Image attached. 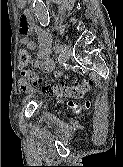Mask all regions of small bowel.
Here are the masks:
<instances>
[{
    "label": "small bowel",
    "mask_w": 123,
    "mask_h": 167,
    "mask_svg": "<svg viewBox=\"0 0 123 167\" xmlns=\"http://www.w3.org/2000/svg\"><path fill=\"white\" fill-rule=\"evenodd\" d=\"M21 43L24 44L30 51L36 49V43L29 38L32 29H35L38 35L37 56L31 62L33 67L40 68L45 72H50L54 69V64L49 58L51 38L39 26L35 25L30 15L24 14L19 21ZM20 88L23 91H31V86L24 80H20Z\"/></svg>",
    "instance_id": "c3829d8e"
}]
</instances>
